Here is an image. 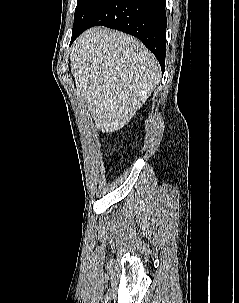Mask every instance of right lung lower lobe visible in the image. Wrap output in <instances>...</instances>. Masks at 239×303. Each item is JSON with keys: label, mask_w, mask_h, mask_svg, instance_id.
Segmentation results:
<instances>
[{"label": "right lung lower lobe", "mask_w": 239, "mask_h": 303, "mask_svg": "<svg viewBox=\"0 0 239 303\" xmlns=\"http://www.w3.org/2000/svg\"><path fill=\"white\" fill-rule=\"evenodd\" d=\"M99 25L139 38L154 53L164 71L167 27L165 0H106L87 24L72 35L70 45L83 31Z\"/></svg>", "instance_id": "right-lung-lower-lobe-1"}]
</instances>
